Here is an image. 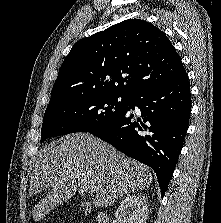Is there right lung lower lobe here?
Wrapping results in <instances>:
<instances>
[{
  "instance_id": "1",
  "label": "right lung lower lobe",
  "mask_w": 221,
  "mask_h": 223,
  "mask_svg": "<svg viewBox=\"0 0 221 223\" xmlns=\"http://www.w3.org/2000/svg\"><path fill=\"white\" fill-rule=\"evenodd\" d=\"M134 106L140 114L132 112ZM190 111V83L185 73L172 83L136 93L121 114L87 132L151 167L163 197L183 146Z\"/></svg>"
}]
</instances>
